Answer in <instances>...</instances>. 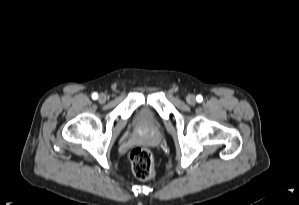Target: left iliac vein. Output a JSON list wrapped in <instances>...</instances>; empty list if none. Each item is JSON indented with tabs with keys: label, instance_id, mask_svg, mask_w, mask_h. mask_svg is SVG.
<instances>
[{
	"label": "left iliac vein",
	"instance_id": "left-iliac-vein-1",
	"mask_svg": "<svg viewBox=\"0 0 299 205\" xmlns=\"http://www.w3.org/2000/svg\"><path fill=\"white\" fill-rule=\"evenodd\" d=\"M186 101L189 105H195L196 103V97L192 94H189L187 97H186Z\"/></svg>",
	"mask_w": 299,
	"mask_h": 205
}]
</instances>
